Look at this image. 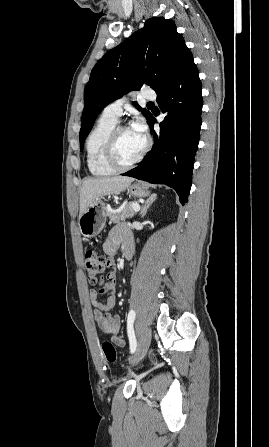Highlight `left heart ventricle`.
Listing matches in <instances>:
<instances>
[{
	"label": "left heart ventricle",
	"instance_id": "b2bd125f",
	"mask_svg": "<svg viewBox=\"0 0 269 447\" xmlns=\"http://www.w3.org/2000/svg\"><path fill=\"white\" fill-rule=\"evenodd\" d=\"M146 145V136L132 127L121 130L117 137L118 158L123 163L134 161Z\"/></svg>",
	"mask_w": 269,
	"mask_h": 447
}]
</instances>
